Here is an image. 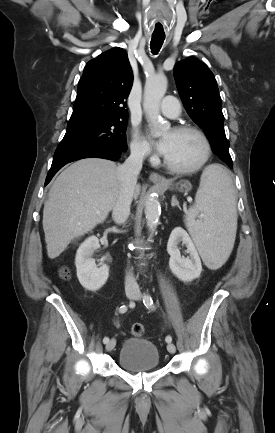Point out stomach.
<instances>
[{
    "label": "stomach",
    "mask_w": 275,
    "mask_h": 433,
    "mask_svg": "<svg viewBox=\"0 0 275 433\" xmlns=\"http://www.w3.org/2000/svg\"><path fill=\"white\" fill-rule=\"evenodd\" d=\"M174 189L179 192H189L191 190V184L188 181H180L175 184Z\"/></svg>",
    "instance_id": "1"
}]
</instances>
